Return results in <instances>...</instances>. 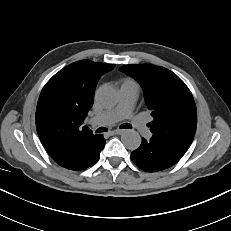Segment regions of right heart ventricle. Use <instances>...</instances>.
I'll return each mask as SVG.
<instances>
[{"mask_svg": "<svg viewBox=\"0 0 231 231\" xmlns=\"http://www.w3.org/2000/svg\"><path fill=\"white\" fill-rule=\"evenodd\" d=\"M122 86H138V85L133 79L127 78L122 82L121 87Z\"/></svg>", "mask_w": 231, "mask_h": 231, "instance_id": "right-heart-ventricle-1", "label": "right heart ventricle"}]
</instances>
